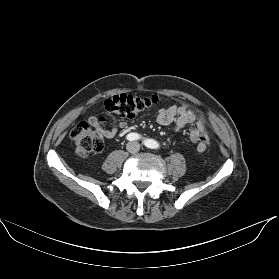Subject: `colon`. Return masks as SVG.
<instances>
[{
  "label": "colon",
  "instance_id": "1",
  "mask_svg": "<svg viewBox=\"0 0 279 279\" xmlns=\"http://www.w3.org/2000/svg\"><path fill=\"white\" fill-rule=\"evenodd\" d=\"M158 102L156 95L137 96L132 94H118L105 100L104 106L108 112L120 117L133 118L144 112ZM104 123L106 120L100 118ZM70 139L74 144V153L78 158H86L92 153L103 149L104 141L102 135L89 122L82 121L75 125L70 132ZM205 145H209V136L206 133L202 137Z\"/></svg>",
  "mask_w": 279,
  "mask_h": 279
}]
</instances>
